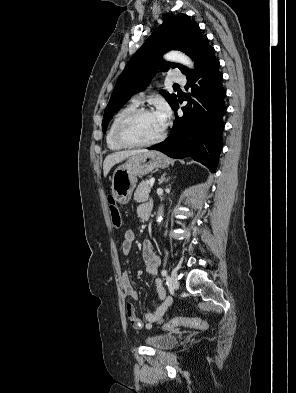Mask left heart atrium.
I'll return each instance as SVG.
<instances>
[{"label":"left heart atrium","instance_id":"39dd6f15","mask_svg":"<svg viewBox=\"0 0 296 393\" xmlns=\"http://www.w3.org/2000/svg\"><path fill=\"white\" fill-rule=\"evenodd\" d=\"M154 114L164 129L170 117V109L168 105L164 102L159 103L156 110L154 111Z\"/></svg>","mask_w":296,"mask_h":393}]
</instances>
